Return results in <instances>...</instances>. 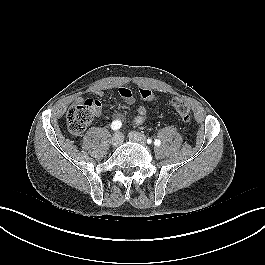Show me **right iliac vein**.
Returning <instances> with one entry per match:
<instances>
[{"instance_id":"obj_1","label":"right iliac vein","mask_w":265,"mask_h":265,"mask_svg":"<svg viewBox=\"0 0 265 265\" xmlns=\"http://www.w3.org/2000/svg\"><path fill=\"white\" fill-rule=\"evenodd\" d=\"M123 142V135L120 132H116L112 139H111V145L113 147H118Z\"/></svg>"}]
</instances>
